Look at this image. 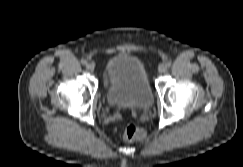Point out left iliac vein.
<instances>
[{
    "label": "left iliac vein",
    "instance_id": "4c4485c4",
    "mask_svg": "<svg viewBox=\"0 0 243 167\" xmlns=\"http://www.w3.org/2000/svg\"><path fill=\"white\" fill-rule=\"evenodd\" d=\"M167 70V67L163 64H161L159 67H158V71L159 73H165Z\"/></svg>",
    "mask_w": 243,
    "mask_h": 167
}]
</instances>
